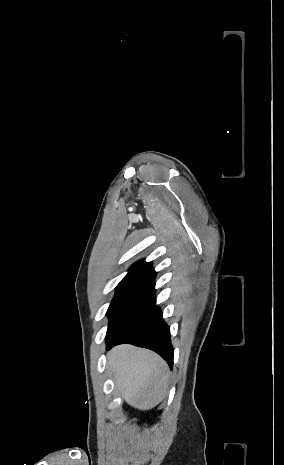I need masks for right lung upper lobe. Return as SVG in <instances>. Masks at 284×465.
Listing matches in <instances>:
<instances>
[{
    "mask_svg": "<svg viewBox=\"0 0 284 465\" xmlns=\"http://www.w3.org/2000/svg\"><path fill=\"white\" fill-rule=\"evenodd\" d=\"M155 276L156 272L152 268V264L150 262L140 260L130 267L129 272L124 279L154 281Z\"/></svg>",
    "mask_w": 284,
    "mask_h": 465,
    "instance_id": "obj_1",
    "label": "right lung upper lobe"
}]
</instances>
